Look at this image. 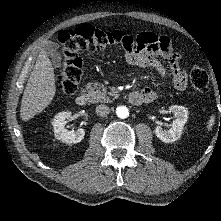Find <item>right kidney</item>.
<instances>
[{"mask_svg": "<svg viewBox=\"0 0 221 221\" xmlns=\"http://www.w3.org/2000/svg\"><path fill=\"white\" fill-rule=\"evenodd\" d=\"M71 117V112H60L55 115L52 126L54 129V135L56 139L62 141L63 143H79L85 136L84 129L80 128L76 131H69L64 128V121Z\"/></svg>", "mask_w": 221, "mask_h": 221, "instance_id": "1", "label": "right kidney"}]
</instances>
